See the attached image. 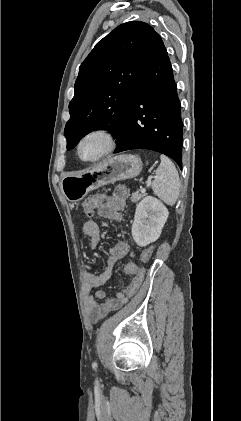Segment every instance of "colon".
<instances>
[{
	"label": "colon",
	"mask_w": 241,
	"mask_h": 421,
	"mask_svg": "<svg viewBox=\"0 0 241 421\" xmlns=\"http://www.w3.org/2000/svg\"><path fill=\"white\" fill-rule=\"evenodd\" d=\"M104 201V196L101 194H96L90 196L86 199L83 205V210L88 217H92L94 211L99 207ZM153 254V247L149 246L144 249L140 255V261L146 263L150 260ZM123 272L126 275L134 276L132 283L124 289L121 293L126 299H129L137 291L141 283L143 282L145 276V269L143 267L137 266L133 262H128L123 266Z\"/></svg>",
	"instance_id": "5ec220e1"
}]
</instances>
